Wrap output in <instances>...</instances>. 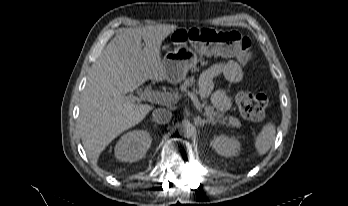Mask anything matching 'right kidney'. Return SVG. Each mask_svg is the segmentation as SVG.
I'll use <instances>...</instances> for the list:
<instances>
[{"label": "right kidney", "mask_w": 348, "mask_h": 206, "mask_svg": "<svg viewBox=\"0 0 348 206\" xmlns=\"http://www.w3.org/2000/svg\"><path fill=\"white\" fill-rule=\"evenodd\" d=\"M152 138L147 131L133 130L124 134L115 146V156L122 162H135L144 157Z\"/></svg>", "instance_id": "ca27d5eb"}]
</instances>
